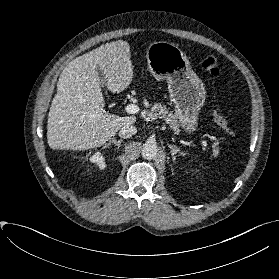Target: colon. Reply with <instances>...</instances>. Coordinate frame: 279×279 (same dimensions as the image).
Here are the masks:
<instances>
[{
  "instance_id": "1",
  "label": "colon",
  "mask_w": 279,
  "mask_h": 279,
  "mask_svg": "<svg viewBox=\"0 0 279 279\" xmlns=\"http://www.w3.org/2000/svg\"><path fill=\"white\" fill-rule=\"evenodd\" d=\"M201 69L212 76H217L220 73L218 61L212 55H205L202 58ZM214 118L218 126L226 135L232 136L234 134L221 108L218 107L214 110Z\"/></svg>"
}]
</instances>
